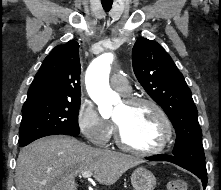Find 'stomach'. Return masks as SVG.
<instances>
[{"mask_svg":"<svg viewBox=\"0 0 221 190\" xmlns=\"http://www.w3.org/2000/svg\"><path fill=\"white\" fill-rule=\"evenodd\" d=\"M131 184L134 190H154L156 178L146 168L138 167L131 174Z\"/></svg>","mask_w":221,"mask_h":190,"instance_id":"stomach-1","label":"stomach"}]
</instances>
